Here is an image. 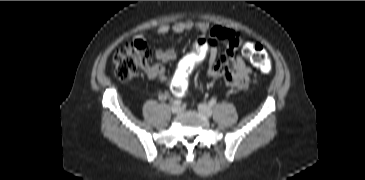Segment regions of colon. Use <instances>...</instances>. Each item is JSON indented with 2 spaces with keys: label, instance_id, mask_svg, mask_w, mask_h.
I'll return each mask as SVG.
<instances>
[{
  "label": "colon",
  "instance_id": "colon-1",
  "mask_svg": "<svg viewBox=\"0 0 365 180\" xmlns=\"http://www.w3.org/2000/svg\"><path fill=\"white\" fill-rule=\"evenodd\" d=\"M243 55L263 74H270L272 64L266 49L257 43L246 42L242 46ZM114 74L121 81L136 76L139 68L149 64V51L142 40H134L118 48L113 54ZM186 71L173 85V93L184 95L187 91Z\"/></svg>",
  "mask_w": 365,
  "mask_h": 180
}]
</instances>
